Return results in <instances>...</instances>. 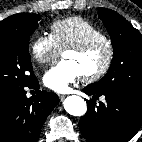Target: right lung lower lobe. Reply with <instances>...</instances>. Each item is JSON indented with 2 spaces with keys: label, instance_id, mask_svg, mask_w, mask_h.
<instances>
[{
  "label": "right lung lower lobe",
  "instance_id": "98d812e1",
  "mask_svg": "<svg viewBox=\"0 0 142 142\" xmlns=\"http://www.w3.org/2000/svg\"><path fill=\"white\" fill-rule=\"evenodd\" d=\"M28 88L38 90L37 79ZM58 103V96L46 91L27 98L25 88L1 99L0 142H37L43 123Z\"/></svg>",
  "mask_w": 142,
  "mask_h": 142
}]
</instances>
